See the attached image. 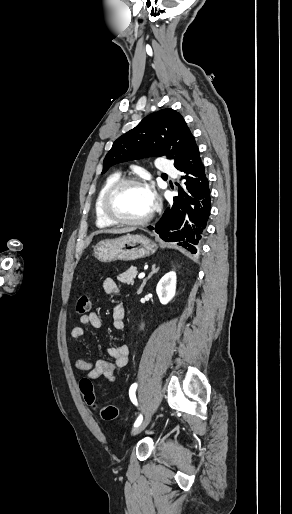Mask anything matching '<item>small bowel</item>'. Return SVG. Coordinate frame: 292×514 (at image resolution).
Masks as SVG:
<instances>
[{"instance_id": "small-bowel-1", "label": "small bowel", "mask_w": 292, "mask_h": 514, "mask_svg": "<svg viewBox=\"0 0 292 514\" xmlns=\"http://www.w3.org/2000/svg\"><path fill=\"white\" fill-rule=\"evenodd\" d=\"M103 289L105 293L109 295H116L120 291L117 282L111 277H107L103 280ZM125 314L126 310L123 304L117 303L113 306L112 316L113 328L115 330L120 331L125 328ZM80 323L96 329L102 327V320L96 312L82 315L80 317ZM85 334V329L81 326L73 327L70 331V336L73 339H81ZM108 354L112 358L110 361L98 360L92 362L90 360L77 359L75 361V368L79 371L86 372L85 378L91 381L103 377L107 382H113L119 371L128 363L129 348L125 344L110 346L108 348Z\"/></svg>"}]
</instances>
